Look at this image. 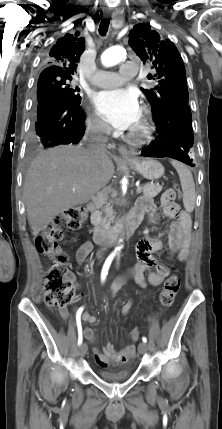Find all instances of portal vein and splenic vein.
Masks as SVG:
<instances>
[{
	"label": "portal vein and splenic vein",
	"instance_id": "18ae733b",
	"mask_svg": "<svg viewBox=\"0 0 222 429\" xmlns=\"http://www.w3.org/2000/svg\"><path fill=\"white\" fill-rule=\"evenodd\" d=\"M141 191H142V187L141 186H139L138 188H137V194H139V193H141Z\"/></svg>",
	"mask_w": 222,
	"mask_h": 429
}]
</instances>
